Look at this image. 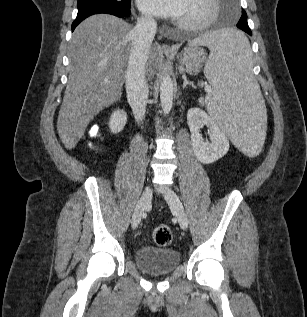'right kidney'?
<instances>
[{
  "label": "right kidney",
  "mask_w": 307,
  "mask_h": 317,
  "mask_svg": "<svg viewBox=\"0 0 307 317\" xmlns=\"http://www.w3.org/2000/svg\"><path fill=\"white\" fill-rule=\"evenodd\" d=\"M127 123V113L124 110L116 109L112 112L109 127L111 132H121Z\"/></svg>",
  "instance_id": "1"
}]
</instances>
